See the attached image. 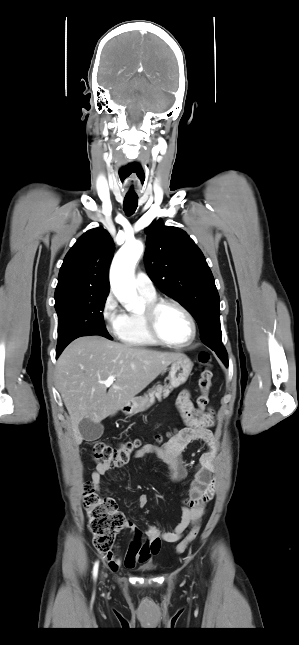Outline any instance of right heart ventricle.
<instances>
[{"label": "right heart ventricle", "mask_w": 299, "mask_h": 645, "mask_svg": "<svg viewBox=\"0 0 299 645\" xmlns=\"http://www.w3.org/2000/svg\"><path fill=\"white\" fill-rule=\"evenodd\" d=\"M142 306L135 311H128L123 314V323L118 333V338L123 343L135 347H148L157 345V341L149 334L143 311L147 304L154 301L156 296L140 293Z\"/></svg>", "instance_id": "right-heart-ventricle-1"}]
</instances>
